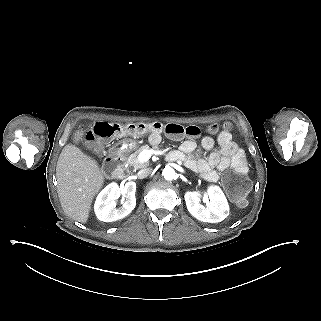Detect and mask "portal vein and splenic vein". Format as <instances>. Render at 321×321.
I'll list each match as a JSON object with an SVG mask.
<instances>
[{
  "label": "portal vein and splenic vein",
  "mask_w": 321,
  "mask_h": 321,
  "mask_svg": "<svg viewBox=\"0 0 321 321\" xmlns=\"http://www.w3.org/2000/svg\"><path fill=\"white\" fill-rule=\"evenodd\" d=\"M153 154V150H144L138 155V159L140 162H146L150 159Z\"/></svg>",
  "instance_id": "portal-vein-and-splenic-vein-1"
}]
</instances>
